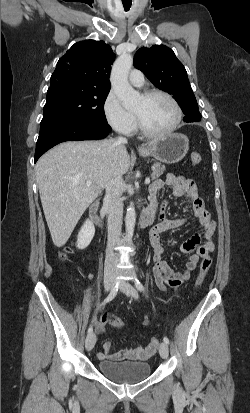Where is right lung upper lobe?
Segmentation results:
<instances>
[{
  "label": "right lung upper lobe",
  "mask_w": 250,
  "mask_h": 413,
  "mask_svg": "<svg viewBox=\"0 0 250 413\" xmlns=\"http://www.w3.org/2000/svg\"><path fill=\"white\" fill-rule=\"evenodd\" d=\"M114 59L111 47L103 41L77 42L59 59L48 90L63 85L110 90V66Z\"/></svg>",
  "instance_id": "cb5924a9"
}]
</instances>
